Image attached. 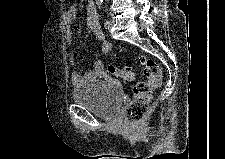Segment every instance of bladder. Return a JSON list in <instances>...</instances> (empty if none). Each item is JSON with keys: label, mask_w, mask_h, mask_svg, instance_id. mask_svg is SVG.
<instances>
[{"label": "bladder", "mask_w": 225, "mask_h": 159, "mask_svg": "<svg viewBox=\"0 0 225 159\" xmlns=\"http://www.w3.org/2000/svg\"><path fill=\"white\" fill-rule=\"evenodd\" d=\"M72 99L105 120L116 119L122 105L118 90L103 80H93L75 87Z\"/></svg>", "instance_id": "1"}]
</instances>
